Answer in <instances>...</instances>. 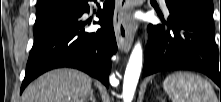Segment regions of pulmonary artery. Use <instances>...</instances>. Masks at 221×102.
Here are the masks:
<instances>
[{"label":"pulmonary artery","instance_id":"pulmonary-artery-1","mask_svg":"<svg viewBox=\"0 0 221 102\" xmlns=\"http://www.w3.org/2000/svg\"><path fill=\"white\" fill-rule=\"evenodd\" d=\"M159 2L164 9H167L165 0H159Z\"/></svg>","mask_w":221,"mask_h":102}]
</instances>
